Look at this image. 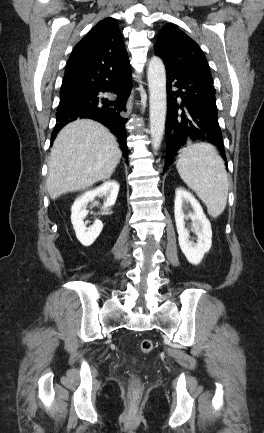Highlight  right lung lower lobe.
I'll use <instances>...</instances> for the list:
<instances>
[{
    "instance_id": "1",
    "label": "right lung lower lobe",
    "mask_w": 264,
    "mask_h": 433,
    "mask_svg": "<svg viewBox=\"0 0 264 433\" xmlns=\"http://www.w3.org/2000/svg\"><path fill=\"white\" fill-rule=\"evenodd\" d=\"M131 89L130 63L121 67L100 66L66 72L51 141L66 124L78 118H89L104 124L117 136L127 158V118L122 113L126 111L125 104ZM102 93H111L113 96L106 98Z\"/></svg>"
}]
</instances>
